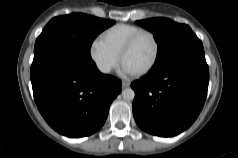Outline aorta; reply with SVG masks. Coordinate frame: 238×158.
<instances>
[{
  "label": "aorta",
  "mask_w": 238,
  "mask_h": 158,
  "mask_svg": "<svg viewBox=\"0 0 238 158\" xmlns=\"http://www.w3.org/2000/svg\"><path fill=\"white\" fill-rule=\"evenodd\" d=\"M122 97L124 100L131 101L135 97L134 90L131 88H126L122 91Z\"/></svg>",
  "instance_id": "1"
}]
</instances>
